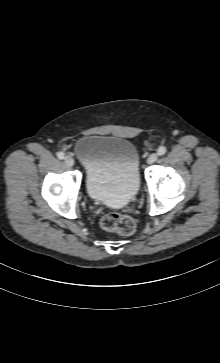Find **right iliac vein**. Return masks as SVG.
<instances>
[{
    "label": "right iliac vein",
    "mask_w": 220,
    "mask_h": 363,
    "mask_svg": "<svg viewBox=\"0 0 220 363\" xmlns=\"http://www.w3.org/2000/svg\"><path fill=\"white\" fill-rule=\"evenodd\" d=\"M64 162L69 167H72L74 165V159L70 156H66Z\"/></svg>",
    "instance_id": "63e3f726"
}]
</instances>
